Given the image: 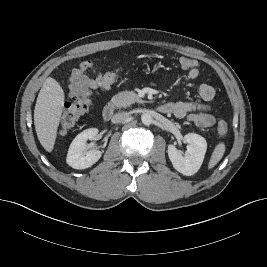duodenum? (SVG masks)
Returning <instances> with one entry per match:
<instances>
[{
    "mask_svg": "<svg viewBox=\"0 0 267 267\" xmlns=\"http://www.w3.org/2000/svg\"><path fill=\"white\" fill-rule=\"evenodd\" d=\"M158 110L162 113H168L170 112L171 108L168 104H162L158 107ZM115 111H116V104L114 102L107 103L102 111L103 118L105 120L111 119Z\"/></svg>",
    "mask_w": 267,
    "mask_h": 267,
    "instance_id": "1",
    "label": "duodenum"
}]
</instances>
